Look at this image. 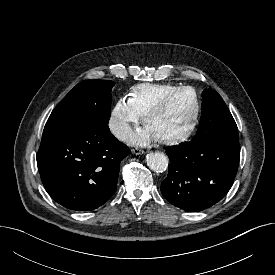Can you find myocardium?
Returning <instances> with one entry per match:
<instances>
[{
  "instance_id": "myocardium-1",
  "label": "myocardium",
  "mask_w": 275,
  "mask_h": 275,
  "mask_svg": "<svg viewBox=\"0 0 275 275\" xmlns=\"http://www.w3.org/2000/svg\"><path fill=\"white\" fill-rule=\"evenodd\" d=\"M184 91H190L194 95L195 107H194V113H193L192 119H191L189 125L187 126V128L180 134H178L176 136H172V137L157 139L162 144L173 145V144L181 143V142L187 140L191 136V134L194 132V130L197 126L198 120H199L200 110H201V102H200V97H199L198 92L196 91L195 88H193L191 86L176 87L175 89L166 93L145 115L144 121H145V124H148L149 121L154 116H156L157 114H159L161 111L164 110V108L167 106L169 101L175 95H177L180 92H184Z\"/></svg>"
}]
</instances>
